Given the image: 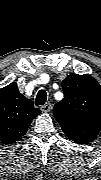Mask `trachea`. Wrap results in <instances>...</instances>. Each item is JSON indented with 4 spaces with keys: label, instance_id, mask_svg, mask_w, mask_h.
Returning a JSON list of instances; mask_svg holds the SVG:
<instances>
[{
    "label": "trachea",
    "instance_id": "3493384b",
    "mask_svg": "<svg viewBox=\"0 0 101 180\" xmlns=\"http://www.w3.org/2000/svg\"><path fill=\"white\" fill-rule=\"evenodd\" d=\"M47 100V93L45 90H39L36 96L35 104L36 106L44 105Z\"/></svg>",
    "mask_w": 101,
    "mask_h": 180
}]
</instances>
